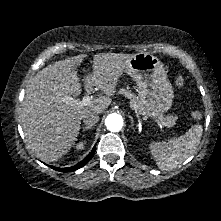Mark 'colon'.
Instances as JSON below:
<instances>
[{"label": "colon", "instance_id": "5ec220e1", "mask_svg": "<svg viewBox=\"0 0 221 221\" xmlns=\"http://www.w3.org/2000/svg\"><path fill=\"white\" fill-rule=\"evenodd\" d=\"M175 82H176V85L179 86V87H183L184 84H185L184 78L181 77V76H178L176 78ZM192 117H193V119L198 120L202 117V112L199 111V110H194L192 112Z\"/></svg>", "mask_w": 221, "mask_h": 221}]
</instances>
